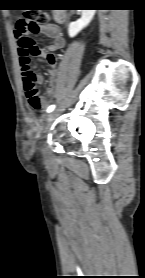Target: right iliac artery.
Segmentation results:
<instances>
[{
  "mask_svg": "<svg viewBox=\"0 0 145 278\" xmlns=\"http://www.w3.org/2000/svg\"><path fill=\"white\" fill-rule=\"evenodd\" d=\"M55 109V105H51L48 107L47 112L50 113Z\"/></svg>",
  "mask_w": 145,
  "mask_h": 278,
  "instance_id": "obj_1",
  "label": "right iliac artery"
}]
</instances>
